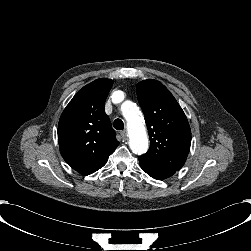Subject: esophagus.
<instances>
[{
  "instance_id": "obj_1",
  "label": "esophagus",
  "mask_w": 251,
  "mask_h": 251,
  "mask_svg": "<svg viewBox=\"0 0 251 251\" xmlns=\"http://www.w3.org/2000/svg\"><path fill=\"white\" fill-rule=\"evenodd\" d=\"M120 134L123 139H127V132L125 130H123Z\"/></svg>"
}]
</instances>
